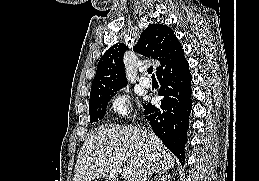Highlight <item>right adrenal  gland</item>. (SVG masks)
<instances>
[{"instance_id":"obj_1","label":"right adrenal gland","mask_w":259,"mask_h":181,"mask_svg":"<svg viewBox=\"0 0 259 181\" xmlns=\"http://www.w3.org/2000/svg\"><path fill=\"white\" fill-rule=\"evenodd\" d=\"M169 176H165L164 173H159L151 181H167Z\"/></svg>"}]
</instances>
